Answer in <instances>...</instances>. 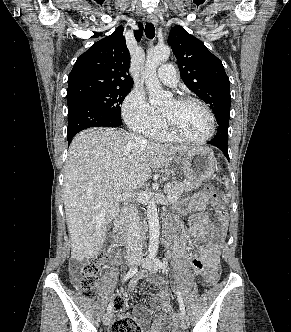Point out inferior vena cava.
I'll use <instances>...</instances> for the list:
<instances>
[{
    "mask_svg": "<svg viewBox=\"0 0 291 332\" xmlns=\"http://www.w3.org/2000/svg\"><path fill=\"white\" fill-rule=\"evenodd\" d=\"M136 141L146 142L140 136L132 135ZM126 249L128 254L142 255V243H141V226L139 219V212L137 208V201L134 200L133 204L129 206L126 214Z\"/></svg>",
    "mask_w": 291,
    "mask_h": 332,
    "instance_id": "obj_1",
    "label": "inferior vena cava"
}]
</instances>
